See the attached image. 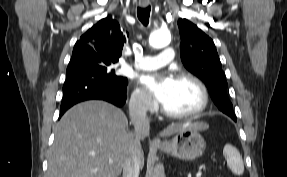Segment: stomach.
Instances as JSON below:
<instances>
[{
	"instance_id": "1",
	"label": "stomach",
	"mask_w": 287,
	"mask_h": 177,
	"mask_svg": "<svg viewBox=\"0 0 287 177\" xmlns=\"http://www.w3.org/2000/svg\"><path fill=\"white\" fill-rule=\"evenodd\" d=\"M205 147V140L198 130L189 127L177 132L171 140L158 148L175 158L193 161L203 154Z\"/></svg>"
}]
</instances>
